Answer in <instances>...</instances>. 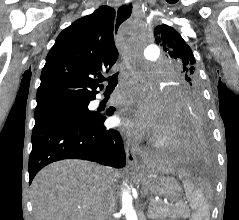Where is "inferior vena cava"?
Here are the masks:
<instances>
[{
	"label": "inferior vena cava",
	"instance_id": "1",
	"mask_svg": "<svg viewBox=\"0 0 239 220\" xmlns=\"http://www.w3.org/2000/svg\"><path fill=\"white\" fill-rule=\"evenodd\" d=\"M102 200L103 214L100 216V220H113L111 215L114 206V181L109 171H107L103 182Z\"/></svg>",
	"mask_w": 239,
	"mask_h": 220
}]
</instances>
